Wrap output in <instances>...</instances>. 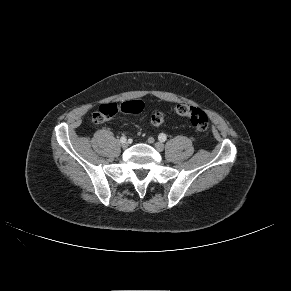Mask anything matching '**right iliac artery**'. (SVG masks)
<instances>
[{"label":"right iliac artery","mask_w":291,"mask_h":291,"mask_svg":"<svg viewBox=\"0 0 291 291\" xmlns=\"http://www.w3.org/2000/svg\"><path fill=\"white\" fill-rule=\"evenodd\" d=\"M125 141H126V137H125V136H122V137L120 138V142L123 143V142H125Z\"/></svg>","instance_id":"obj_1"}]
</instances>
